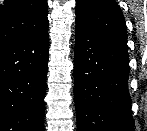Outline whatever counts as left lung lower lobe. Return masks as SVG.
<instances>
[{
	"label": "left lung lower lobe",
	"mask_w": 147,
	"mask_h": 131,
	"mask_svg": "<svg viewBox=\"0 0 147 131\" xmlns=\"http://www.w3.org/2000/svg\"><path fill=\"white\" fill-rule=\"evenodd\" d=\"M77 131H134L127 45L76 22Z\"/></svg>",
	"instance_id": "0a47b994"
}]
</instances>
